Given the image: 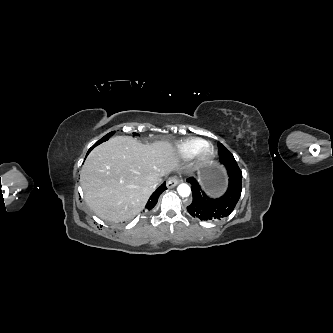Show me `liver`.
Returning a JSON list of instances; mask_svg holds the SVG:
<instances>
[{
	"instance_id": "liver-1",
	"label": "liver",
	"mask_w": 333,
	"mask_h": 333,
	"mask_svg": "<svg viewBox=\"0 0 333 333\" xmlns=\"http://www.w3.org/2000/svg\"><path fill=\"white\" fill-rule=\"evenodd\" d=\"M179 166L167 141L144 145L131 136H116L91 151L80 171V184L96 215L122 222L138 214L152 186Z\"/></svg>"
}]
</instances>
